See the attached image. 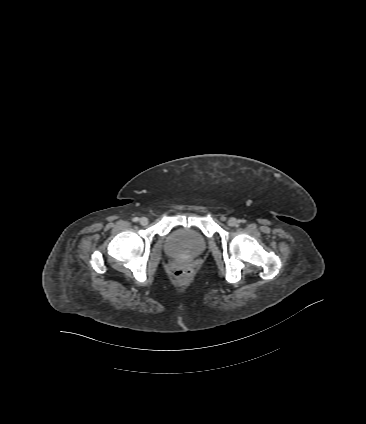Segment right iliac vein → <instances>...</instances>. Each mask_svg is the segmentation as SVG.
<instances>
[{"label":"right iliac vein","instance_id":"1","mask_svg":"<svg viewBox=\"0 0 366 424\" xmlns=\"http://www.w3.org/2000/svg\"><path fill=\"white\" fill-rule=\"evenodd\" d=\"M148 222H149L148 218H146V217H142L140 219V224L143 225V226H146L148 224Z\"/></svg>","mask_w":366,"mask_h":424}]
</instances>
